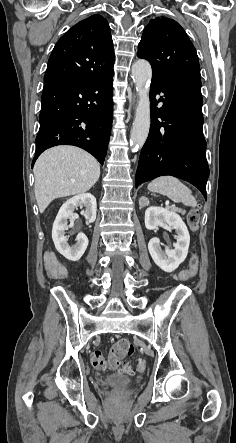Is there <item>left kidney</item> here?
I'll use <instances>...</instances> for the list:
<instances>
[{"mask_svg":"<svg viewBox=\"0 0 236 443\" xmlns=\"http://www.w3.org/2000/svg\"><path fill=\"white\" fill-rule=\"evenodd\" d=\"M145 226L148 230L169 226L175 229L177 242L174 249L160 247L159 238H152L148 243L149 253L155 262L165 272H173L185 260L190 244L188 229L181 217L173 211L165 208L151 206L145 211Z\"/></svg>","mask_w":236,"mask_h":443,"instance_id":"left-kidney-1","label":"left kidney"}]
</instances>
